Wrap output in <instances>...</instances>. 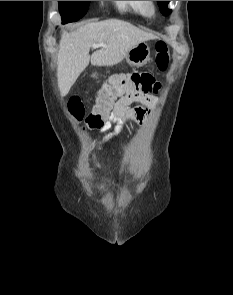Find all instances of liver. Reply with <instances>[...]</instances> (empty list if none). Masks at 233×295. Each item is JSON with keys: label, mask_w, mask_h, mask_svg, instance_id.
<instances>
[{"label": "liver", "mask_w": 233, "mask_h": 295, "mask_svg": "<svg viewBox=\"0 0 233 295\" xmlns=\"http://www.w3.org/2000/svg\"><path fill=\"white\" fill-rule=\"evenodd\" d=\"M156 37L129 22L108 19L91 22L75 31L63 32L57 56V79L61 96H66L91 61L93 66H113L137 43ZM93 44H102L89 55Z\"/></svg>", "instance_id": "6515ba94"}]
</instances>
